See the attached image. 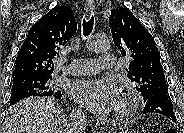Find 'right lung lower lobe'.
Returning a JSON list of instances; mask_svg holds the SVG:
<instances>
[{
	"label": "right lung lower lobe",
	"mask_w": 184,
	"mask_h": 133,
	"mask_svg": "<svg viewBox=\"0 0 184 133\" xmlns=\"http://www.w3.org/2000/svg\"><path fill=\"white\" fill-rule=\"evenodd\" d=\"M53 97H55L56 99H61L62 94H59V95H56V96H53Z\"/></svg>",
	"instance_id": "right-lung-lower-lobe-1"
}]
</instances>
